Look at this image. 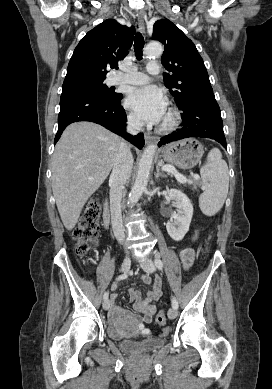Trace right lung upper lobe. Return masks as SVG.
<instances>
[{"label": "right lung upper lobe", "instance_id": "obj_1", "mask_svg": "<svg viewBox=\"0 0 272 389\" xmlns=\"http://www.w3.org/2000/svg\"><path fill=\"white\" fill-rule=\"evenodd\" d=\"M135 28L106 20L89 31L76 46L63 85L105 80L107 68H118L132 45Z\"/></svg>", "mask_w": 272, "mask_h": 389}]
</instances>
